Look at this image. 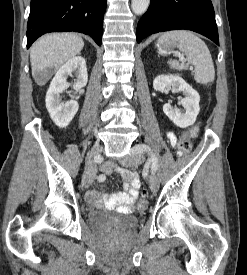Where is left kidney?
<instances>
[{
    "instance_id": "left-kidney-1",
    "label": "left kidney",
    "mask_w": 247,
    "mask_h": 275,
    "mask_svg": "<svg viewBox=\"0 0 247 275\" xmlns=\"http://www.w3.org/2000/svg\"><path fill=\"white\" fill-rule=\"evenodd\" d=\"M174 88L183 92L185 97L180 104L184 111L172 107L169 103L164 104L163 112L178 127L187 128L194 124L199 114L200 96L186 81L177 75H160L154 79L153 87L156 91L165 92L166 89Z\"/></svg>"
}]
</instances>
